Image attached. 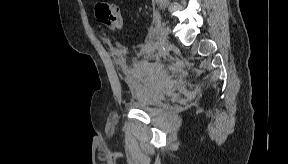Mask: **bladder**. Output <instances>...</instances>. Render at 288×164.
<instances>
[{
  "label": "bladder",
  "mask_w": 288,
  "mask_h": 164,
  "mask_svg": "<svg viewBox=\"0 0 288 164\" xmlns=\"http://www.w3.org/2000/svg\"><path fill=\"white\" fill-rule=\"evenodd\" d=\"M156 100H157L156 94L153 92H149L137 101L135 107L138 110L148 112L155 106Z\"/></svg>",
  "instance_id": "1"
}]
</instances>
